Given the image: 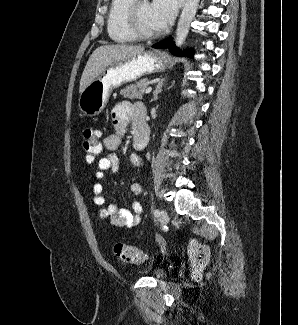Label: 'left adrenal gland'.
Listing matches in <instances>:
<instances>
[{"label":"left adrenal gland","instance_id":"a2214340","mask_svg":"<svg viewBox=\"0 0 298 325\" xmlns=\"http://www.w3.org/2000/svg\"><path fill=\"white\" fill-rule=\"evenodd\" d=\"M164 80H165V78H162V80H159L158 84H156V86L153 90V98H151L150 102H152V100H156V98H158L159 92H161V90H163Z\"/></svg>","mask_w":298,"mask_h":325}]
</instances>
